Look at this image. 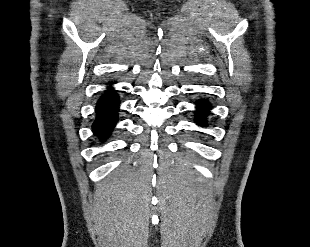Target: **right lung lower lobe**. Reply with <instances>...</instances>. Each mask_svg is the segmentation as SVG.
<instances>
[{
	"label": "right lung lower lobe",
	"mask_w": 310,
	"mask_h": 247,
	"mask_svg": "<svg viewBox=\"0 0 310 247\" xmlns=\"http://www.w3.org/2000/svg\"><path fill=\"white\" fill-rule=\"evenodd\" d=\"M118 104V95L111 89L107 90L106 94L97 102V116L93 124V132L101 140H104L111 133L118 120Z\"/></svg>",
	"instance_id": "98d812e1"
}]
</instances>
